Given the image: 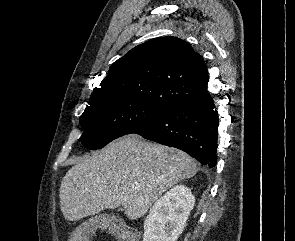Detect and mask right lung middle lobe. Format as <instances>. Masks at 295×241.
Instances as JSON below:
<instances>
[{
    "label": "right lung middle lobe",
    "mask_w": 295,
    "mask_h": 241,
    "mask_svg": "<svg viewBox=\"0 0 295 241\" xmlns=\"http://www.w3.org/2000/svg\"><path fill=\"white\" fill-rule=\"evenodd\" d=\"M163 110L115 93L91 95L89 106L80 116L84 132L79 140L88 149L103 148L112 140L156 118Z\"/></svg>",
    "instance_id": "dd1d6c3e"
}]
</instances>
